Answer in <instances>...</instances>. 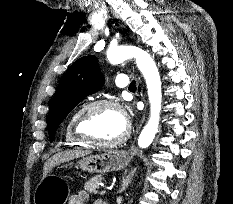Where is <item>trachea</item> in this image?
<instances>
[{
    "label": "trachea",
    "instance_id": "1",
    "mask_svg": "<svg viewBox=\"0 0 233 204\" xmlns=\"http://www.w3.org/2000/svg\"><path fill=\"white\" fill-rule=\"evenodd\" d=\"M133 89H136V82L135 81H132L129 85V90H133Z\"/></svg>",
    "mask_w": 233,
    "mask_h": 204
}]
</instances>
